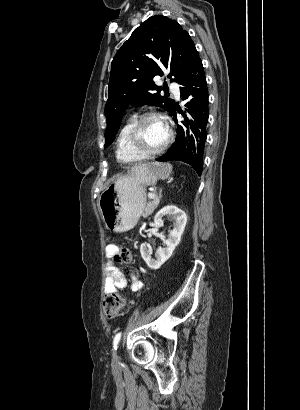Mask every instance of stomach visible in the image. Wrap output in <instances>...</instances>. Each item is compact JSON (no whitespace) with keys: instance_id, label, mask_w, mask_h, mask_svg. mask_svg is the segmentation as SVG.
Instances as JSON below:
<instances>
[{"instance_id":"0dacf381","label":"stomach","mask_w":300,"mask_h":410,"mask_svg":"<svg viewBox=\"0 0 300 410\" xmlns=\"http://www.w3.org/2000/svg\"><path fill=\"white\" fill-rule=\"evenodd\" d=\"M171 173L168 163H151L134 168L108 186L99 197V209L108 230L126 232L141 216L145 203V187L166 179Z\"/></svg>"}]
</instances>
